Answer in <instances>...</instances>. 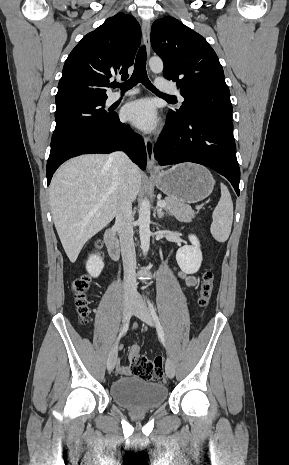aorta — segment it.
I'll return each instance as SVG.
<instances>
[{
	"mask_svg": "<svg viewBox=\"0 0 289 465\" xmlns=\"http://www.w3.org/2000/svg\"><path fill=\"white\" fill-rule=\"evenodd\" d=\"M150 69L154 73H161L164 65L163 61L159 57H152L149 60ZM150 203L148 199H144L139 209V234L141 248L144 255H147L150 246Z\"/></svg>",
	"mask_w": 289,
	"mask_h": 465,
	"instance_id": "762f6f07",
	"label": "aorta"
}]
</instances>
